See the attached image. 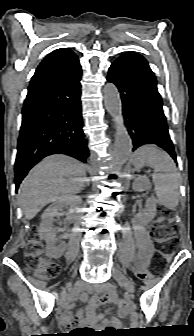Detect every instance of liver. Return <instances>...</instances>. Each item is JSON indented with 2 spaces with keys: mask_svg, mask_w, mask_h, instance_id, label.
Listing matches in <instances>:
<instances>
[{
  "mask_svg": "<svg viewBox=\"0 0 194 336\" xmlns=\"http://www.w3.org/2000/svg\"><path fill=\"white\" fill-rule=\"evenodd\" d=\"M86 167L66 155H51L39 162L20 185L18 202L27 220L47 204L80 193Z\"/></svg>",
  "mask_w": 194,
  "mask_h": 336,
  "instance_id": "obj_1",
  "label": "liver"
}]
</instances>
